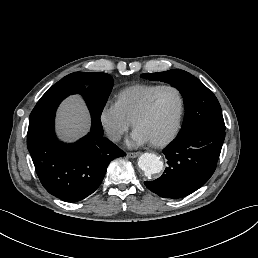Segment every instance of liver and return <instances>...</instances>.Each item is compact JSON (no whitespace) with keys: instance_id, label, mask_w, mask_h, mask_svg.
Wrapping results in <instances>:
<instances>
[{"instance_id":"6515ba94","label":"liver","mask_w":258,"mask_h":258,"mask_svg":"<svg viewBox=\"0 0 258 258\" xmlns=\"http://www.w3.org/2000/svg\"><path fill=\"white\" fill-rule=\"evenodd\" d=\"M57 132L66 141H75L90 128V116L79 95L68 97L57 112Z\"/></svg>"}]
</instances>
